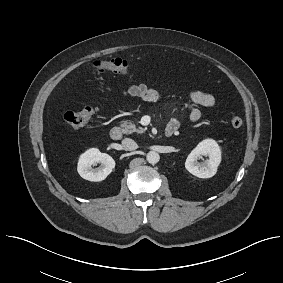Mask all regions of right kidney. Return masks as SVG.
<instances>
[{"instance_id": "ca27d5eb", "label": "right kidney", "mask_w": 283, "mask_h": 283, "mask_svg": "<svg viewBox=\"0 0 283 283\" xmlns=\"http://www.w3.org/2000/svg\"><path fill=\"white\" fill-rule=\"evenodd\" d=\"M95 163H100L101 166L93 169L92 165ZM114 167L115 161L111 156L92 148L80 156L77 171L83 179L98 182L104 180Z\"/></svg>"}]
</instances>
